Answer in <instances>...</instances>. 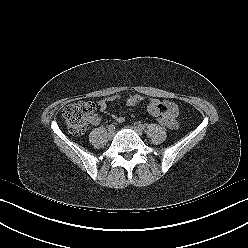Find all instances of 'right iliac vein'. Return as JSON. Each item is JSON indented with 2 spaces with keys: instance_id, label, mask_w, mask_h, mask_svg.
<instances>
[{
  "instance_id": "1",
  "label": "right iliac vein",
  "mask_w": 248,
  "mask_h": 248,
  "mask_svg": "<svg viewBox=\"0 0 248 248\" xmlns=\"http://www.w3.org/2000/svg\"><path fill=\"white\" fill-rule=\"evenodd\" d=\"M114 134H115V133H114V130H109V131H108V137H109V138H112V137L114 136Z\"/></svg>"
}]
</instances>
